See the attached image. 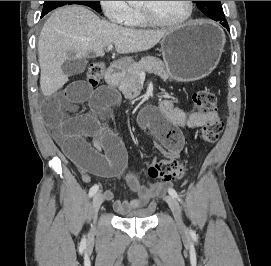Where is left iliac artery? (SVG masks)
Masks as SVG:
<instances>
[{
    "mask_svg": "<svg viewBox=\"0 0 271 266\" xmlns=\"http://www.w3.org/2000/svg\"><path fill=\"white\" fill-rule=\"evenodd\" d=\"M168 193H169L172 197H174V198L178 199L179 201H181L180 196L178 195V193L176 192L175 189L169 188V189H168ZM190 233H193V231L190 230Z\"/></svg>",
    "mask_w": 271,
    "mask_h": 266,
    "instance_id": "1",
    "label": "left iliac artery"
}]
</instances>
